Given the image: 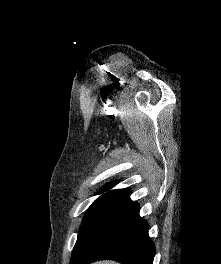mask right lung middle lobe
<instances>
[{
	"label": "right lung middle lobe",
	"mask_w": 221,
	"mask_h": 264,
	"mask_svg": "<svg viewBox=\"0 0 221 264\" xmlns=\"http://www.w3.org/2000/svg\"><path fill=\"white\" fill-rule=\"evenodd\" d=\"M125 191L126 190H114L107 192L93 202L84 216L71 258L80 254L104 217L114 204L122 197Z\"/></svg>",
	"instance_id": "1"
}]
</instances>
